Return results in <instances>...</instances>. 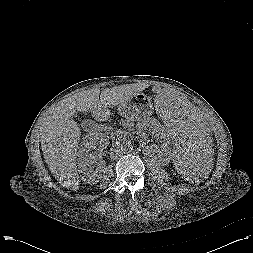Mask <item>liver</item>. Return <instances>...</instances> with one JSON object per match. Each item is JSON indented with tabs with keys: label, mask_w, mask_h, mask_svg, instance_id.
I'll list each match as a JSON object with an SVG mask.
<instances>
[{
	"label": "liver",
	"mask_w": 253,
	"mask_h": 253,
	"mask_svg": "<svg viewBox=\"0 0 253 253\" xmlns=\"http://www.w3.org/2000/svg\"><path fill=\"white\" fill-rule=\"evenodd\" d=\"M141 83L124 84L100 91L95 87L61 101L41 124V147L49 170L59 183L73 191L80 179L76 155L81 130L73 115L77 111L97 113L119 106L146 89Z\"/></svg>",
	"instance_id": "liver-1"
}]
</instances>
